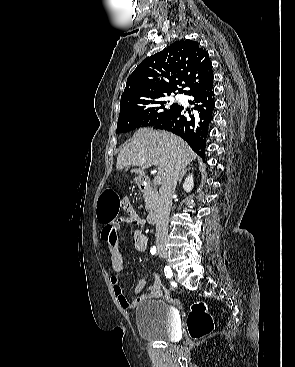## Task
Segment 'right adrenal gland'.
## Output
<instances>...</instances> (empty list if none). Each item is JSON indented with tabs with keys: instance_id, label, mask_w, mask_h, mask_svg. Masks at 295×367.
Segmentation results:
<instances>
[{
	"instance_id": "2a0ac1e0",
	"label": "right adrenal gland",
	"mask_w": 295,
	"mask_h": 367,
	"mask_svg": "<svg viewBox=\"0 0 295 367\" xmlns=\"http://www.w3.org/2000/svg\"><path fill=\"white\" fill-rule=\"evenodd\" d=\"M191 169L190 166H184L182 171H181V174H180V177H179V180H178V183L180 184L182 182V179L183 177L186 175L187 171H189Z\"/></svg>"
}]
</instances>
